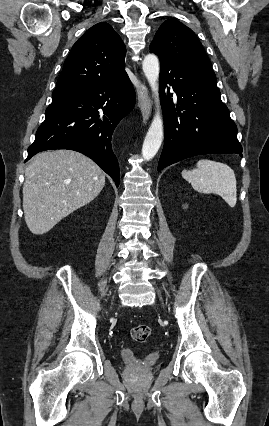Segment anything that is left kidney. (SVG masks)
<instances>
[{"mask_svg": "<svg viewBox=\"0 0 269 426\" xmlns=\"http://www.w3.org/2000/svg\"><path fill=\"white\" fill-rule=\"evenodd\" d=\"M183 208H184V209H187V208H188V205H186V204H185V205H183Z\"/></svg>", "mask_w": 269, "mask_h": 426, "instance_id": "5707ae66", "label": "left kidney"}]
</instances>
